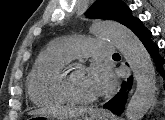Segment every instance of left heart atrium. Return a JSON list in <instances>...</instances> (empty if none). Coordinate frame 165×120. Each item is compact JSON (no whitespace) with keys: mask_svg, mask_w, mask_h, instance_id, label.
I'll use <instances>...</instances> for the list:
<instances>
[{"mask_svg":"<svg viewBox=\"0 0 165 120\" xmlns=\"http://www.w3.org/2000/svg\"><path fill=\"white\" fill-rule=\"evenodd\" d=\"M88 74L98 95L107 94L114 88L115 77L107 65L96 62L89 68Z\"/></svg>","mask_w":165,"mask_h":120,"instance_id":"obj_1","label":"left heart atrium"}]
</instances>
